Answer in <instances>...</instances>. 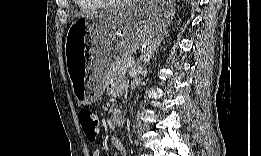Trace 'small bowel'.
<instances>
[{
    "label": "small bowel",
    "instance_id": "1",
    "mask_svg": "<svg viewBox=\"0 0 261 156\" xmlns=\"http://www.w3.org/2000/svg\"><path fill=\"white\" fill-rule=\"evenodd\" d=\"M123 88V83L119 80H111L108 84V92L110 94H118ZM112 144L114 145V147L116 148L118 154L120 156H125L127 154V149L126 146L120 142L118 139H112ZM101 155V151L99 148L95 149L93 152V156H100Z\"/></svg>",
    "mask_w": 261,
    "mask_h": 156
}]
</instances>
